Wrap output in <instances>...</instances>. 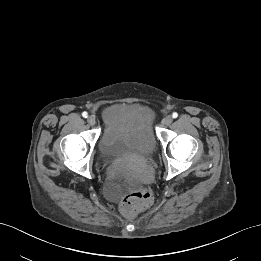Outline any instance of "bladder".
<instances>
[{"label":"bladder","instance_id":"obj_1","mask_svg":"<svg viewBox=\"0 0 261 261\" xmlns=\"http://www.w3.org/2000/svg\"><path fill=\"white\" fill-rule=\"evenodd\" d=\"M128 106V105H125ZM99 150L107 160L149 157L156 150V139L149 125L105 131L99 140Z\"/></svg>","mask_w":261,"mask_h":261}]
</instances>
